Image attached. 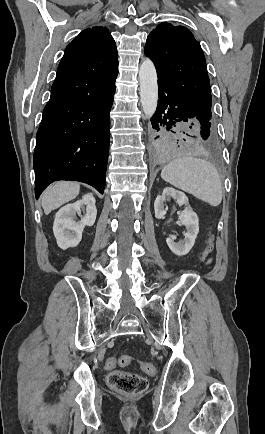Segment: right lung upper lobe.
Wrapping results in <instances>:
<instances>
[{
    "instance_id": "cb5924a9",
    "label": "right lung upper lobe",
    "mask_w": 265,
    "mask_h": 434,
    "mask_svg": "<svg viewBox=\"0 0 265 434\" xmlns=\"http://www.w3.org/2000/svg\"><path fill=\"white\" fill-rule=\"evenodd\" d=\"M65 52L116 53V44L106 27L95 26L83 30L67 47Z\"/></svg>"
}]
</instances>
